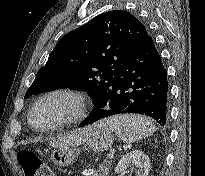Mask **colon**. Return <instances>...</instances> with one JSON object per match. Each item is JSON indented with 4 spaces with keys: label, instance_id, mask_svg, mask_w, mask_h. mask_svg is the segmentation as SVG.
I'll list each match as a JSON object with an SVG mask.
<instances>
[{
    "label": "colon",
    "instance_id": "colon-1",
    "mask_svg": "<svg viewBox=\"0 0 205 176\" xmlns=\"http://www.w3.org/2000/svg\"><path fill=\"white\" fill-rule=\"evenodd\" d=\"M16 157L23 176H51L49 167L34 152L20 150Z\"/></svg>",
    "mask_w": 205,
    "mask_h": 176
}]
</instances>
